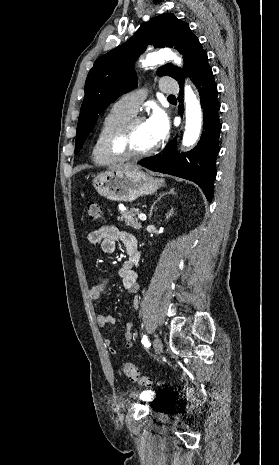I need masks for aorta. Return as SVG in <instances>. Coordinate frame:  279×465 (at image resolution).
Segmentation results:
<instances>
[{
  "label": "aorta",
  "instance_id": "762f6f07",
  "mask_svg": "<svg viewBox=\"0 0 279 465\" xmlns=\"http://www.w3.org/2000/svg\"><path fill=\"white\" fill-rule=\"evenodd\" d=\"M162 59L173 60L176 65H182V59L170 50H162L158 53L148 55L146 63L153 64ZM184 99L186 104V123L182 144L185 147H189L195 144L199 138L202 125V112L199 100L194 94V91L187 85L185 86Z\"/></svg>",
  "mask_w": 279,
  "mask_h": 465
}]
</instances>
